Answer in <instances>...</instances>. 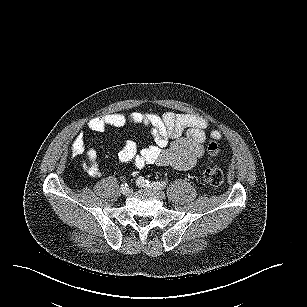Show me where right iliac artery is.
Segmentation results:
<instances>
[{
	"instance_id": "obj_1",
	"label": "right iliac artery",
	"mask_w": 307,
	"mask_h": 307,
	"mask_svg": "<svg viewBox=\"0 0 307 307\" xmlns=\"http://www.w3.org/2000/svg\"><path fill=\"white\" fill-rule=\"evenodd\" d=\"M128 185L125 183V184H122L121 187H127Z\"/></svg>"
}]
</instances>
